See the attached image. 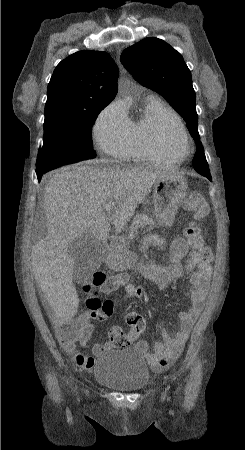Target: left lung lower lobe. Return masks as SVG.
I'll use <instances>...</instances> for the list:
<instances>
[{"instance_id": "1", "label": "left lung lower lobe", "mask_w": 245, "mask_h": 450, "mask_svg": "<svg viewBox=\"0 0 245 450\" xmlns=\"http://www.w3.org/2000/svg\"><path fill=\"white\" fill-rule=\"evenodd\" d=\"M196 152H197L198 154L202 155V154L204 153V149H203L202 147H199V148L197 149ZM200 174H201V173H200ZM202 175L205 176V177H207L209 180H212V179H211L210 172L202 173Z\"/></svg>"}]
</instances>
